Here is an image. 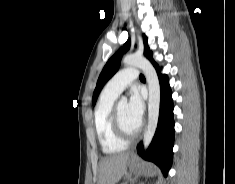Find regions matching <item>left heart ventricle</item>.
Listing matches in <instances>:
<instances>
[{
	"instance_id": "b2bd125f",
	"label": "left heart ventricle",
	"mask_w": 235,
	"mask_h": 184,
	"mask_svg": "<svg viewBox=\"0 0 235 184\" xmlns=\"http://www.w3.org/2000/svg\"><path fill=\"white\" fill-rule=\"evenodd\" d=\"M117 108L122 127L128 134H134L139 129V126L130 118L128 104H119Z\"/></svg>"
}]
</instances>
